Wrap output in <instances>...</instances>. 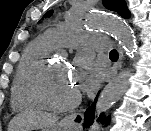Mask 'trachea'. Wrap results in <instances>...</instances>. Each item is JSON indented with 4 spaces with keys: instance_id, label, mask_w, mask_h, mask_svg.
Returning a JSON list of instances; mask_svg holds the SVG:
<instances>
[{
    "instance_id": "trachea-1",
    "label": "trachea",
    "mask_w": 151,
    "mask_h": 131,
    "mask_svg": "<svg viewBox=\"0 0 151 131\" xmlns=\"http://www.w3.org/2000/svg\"><path fill=\"white\" fill-rule=\"evenodd\" d=\"M111 58H118V52L116 50H112L109 54Z\"/></svg>"
}]
</instances>
